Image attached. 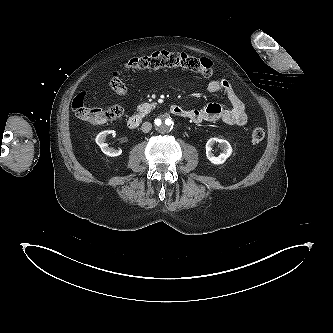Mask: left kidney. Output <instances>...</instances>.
<instances>
[{
	"label": "left kidney",
	"instance_id": "1",
	"mask_svg": "<svg viewBox=\"0 0 333 333\" xmlns=\"http://www.w3.org/2000/svg\"><path fill=\"white\" fill-rule=\"evenodd\" d=\"M215 143H219L220 148L223 151L219 156H214V154L212 153V147ZM232 152V147L227 140L210 138L206 143V156L208 160L214 165L223 164L226 159L231 156Z\"/></svg>",
	"mask_w": 333,
	"mask_h": 333
}]
</instances>
